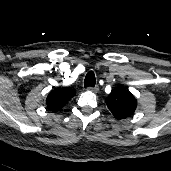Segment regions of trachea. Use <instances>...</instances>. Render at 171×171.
Instances as JSON below:
<instances>
[{
  "instance_id": "3493384b",
  "label": "trachea",
  "mask_w": 171,
  "mask_h": 171,
  "mask_svg": "<svg viewBox=\"0 0 171 171\" xmlns=\"http://www.w3.org/2000/svg\"><path fill=\"white\" fill-rule=\"evenodd\" d=\"M96 84L95 73L93 71H89L86 74L84 80V87H94Z\"/></svg>"
}]
</instances>
